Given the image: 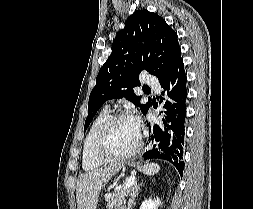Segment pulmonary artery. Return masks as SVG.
Segmentation results:
<instances>
[{
  "label": "pulmonary artery",
  "mask_w": 253,
  "mask_h": 209,
  "mask_svg": "<svg viewBox=\"0 0 253 209\" xmlns=\"http://www.w3.org/2000/svg\"><path fill=\"white\" fill-rule=\"evenodd\" d=\"M144 83H146L151 89L159 90L160 84L155 77L146 75L143 79Z\"/></svg>",
  "instance_id": "1"
}]
</instances>
